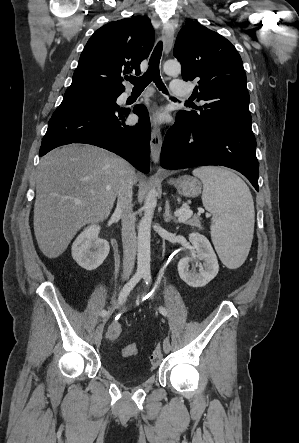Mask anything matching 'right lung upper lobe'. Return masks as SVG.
I'll return each instance as SVG.
<instances>
[{"instance_id":"1","label":"right lung upper lobe","mask_w":299,"mask_h":443,"mask_svg":"<svg viewBox=\"0 0 299 443\" xmlns=\"http://www.w3.org/2000/svg\"><path fill=\"white\" fill-rule=\"evenodd\" d=\"M154 45V30L145 16L107 23L84 47L70 87H85L121 94L122 74L140 73V63Z\"/></svg>"}]
</instances>
